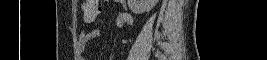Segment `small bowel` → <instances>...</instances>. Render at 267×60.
<instances>
[{"instance_id":"small-bowel-1","label":"small bowel","mask_w":267,"mask_h":60,"mask_svg":"<svg viewBox=\"0 0 267 60\" xmlns=\"http://www.w3.org/2000/svg\"><path fill=\"white\" fill-rule=\"evenodd\" d=\"M119 3L121 6H126V1L120 0V1H115ZM116 23L118 26H124L132 23V16L129 13H121L117 16L116 18ZM100 31L96 28H92L86 31H83L79 35V43L80 44H85L89 42L92 39H95L99 36Z\"/></svg>"}]
</instances>
